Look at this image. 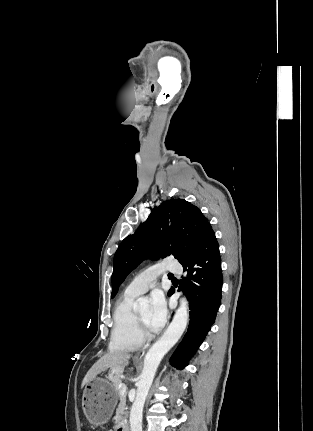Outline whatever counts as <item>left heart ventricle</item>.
I'll list each match as a JSON object with an SVG mask.
<instances>
[{"label": "left heart ventricle", "mask_w": 313, "mask_h": 431, "mask_svg": "<svg viewBox=\"0 0 313 431\" xmlns=\"http://www.w3.org/2000/svg\"><path fill=\"white\" fill-rule=\"evenodd\" d=\"M138 313H139L141 319L143 320L146 328L150 331V328H149V325H148L149 314H150L149 307H145V308L141 309Z\"/></svg>", "instance_id": "obj_1"}]
</instances>
